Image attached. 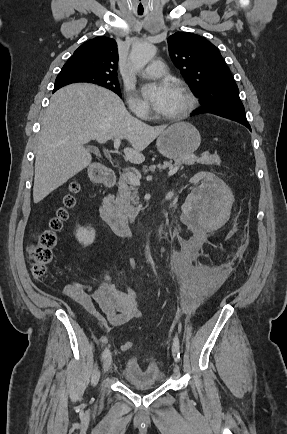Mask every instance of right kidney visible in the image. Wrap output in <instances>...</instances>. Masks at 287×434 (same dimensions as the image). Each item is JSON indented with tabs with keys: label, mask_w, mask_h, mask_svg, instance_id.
I'll use <instances>...</instances> for the list:
<instances>
[{
	"label": "right kidney",
	"mask_w": 287,
	"mask_h": 434,
	"mask_svg": "<svg viewBox=\"0 0 287 434\" xmlns=\"http://www.w3.org/2000/svg\"><path fill=\"white\" fill-rule=\"evenodd\" d=\"M75 236L79 243L83 244L84 246H88L95 240V230L90 227H80L76 230Z\"/></svg>",
	"instance_id": "right-kidney-1"
}]
</instances>
